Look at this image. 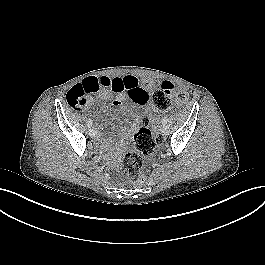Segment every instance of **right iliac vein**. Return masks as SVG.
<instances>
[{
    "instance_id": "obj_1",
    "label": "right iliac vein",
    "mask_w": 265,
    "mask_h": 265,
    "mask_svg": "<svg viewBox=\"0 0 265 265\" xmlns=\"http://www.w3.org/2000/svg\"><path fill=\"white\" fill-rule=\"evenodd\" d=\"M96 131L94 130V129H89V135L91 136V137H95L96 136Z\"/></svg>"
}]
</instances>
